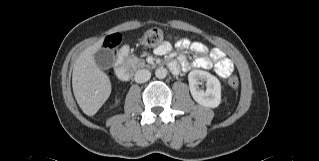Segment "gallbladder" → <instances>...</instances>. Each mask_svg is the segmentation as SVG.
I'll use <instances>...</instances> for the list:
<instances>
[{
	"instance_id": "1",
	"label": "gallbladder",
	"mask_w": 319,
	"mask_h": 161,
	"mask_svg": "<svg viewBox=\"0 0 319 161\" xmlns=\"http://www.w3.org/2000/svg\"><path fill=\"white\" fill-rule=\"evenodd\" d=\"M96 65L101 69H109L115 61L114 53L110 49H100L94 54Z\"/></svg>"
}]
</instances>
